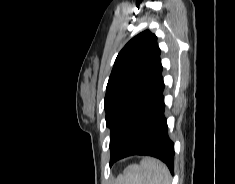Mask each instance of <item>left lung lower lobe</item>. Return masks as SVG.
Listing matches in <instances>:
<instances>
[{"mask_svg": "<svg viewBox=\"0 0 235 184\" xmlns=\"http://www.w3.org/2000/svg\"><path fill=\"white\" fill-rule=\"evenodd\" d=\"M161 73L151 97L136 119L127 142L110 160V166L127 156L148 155L163 161L174 174V143L168 136L167 120L164 115L165 86Z\"/></svg>", "mask_w": 235, "mask_h": 184, "instance_id": "obj_1", "label": "left lung lower lobe"}]
</instances>
